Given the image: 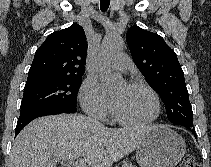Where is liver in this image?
Instances as JSON below:
<instances>
[{
    "instance_id": "liver-1",
    "label": "liver",
    "mask_w": 211,
    "mask_h": 167,
    "mask_svg": "<svg viewBox=\"0 0 211 167\" xmlns=\"http://www.w3.org/2000/svg\"><path fill=\"white\" fill-rule=\"evenodd\" d=\"M153 127L110 129L79 114L40 117L16 137L9 167H56L76 158L85 167H110L134 151Z\"/></svg>"
}]
</instances>
